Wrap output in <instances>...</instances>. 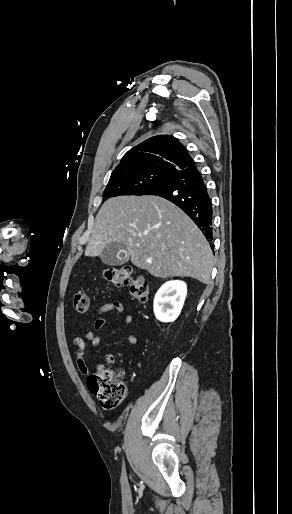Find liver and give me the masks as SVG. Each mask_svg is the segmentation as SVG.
<instances>
[{"mask_svg": "<svg viewBox=\"0 0 292 514\" xmlns=\"http://www.w3.org/2000/svg\"><path fill=\"white\" fill-rule=\"evenodd\" d=\"M120 242L131 262L156 278L189 276L210 284L214 256L201 230L159 196H118L101 206L85 256Z\"/></svg>", "mask_w": 292, "mask_h": 514, "instance_id": "1", "label": "liver"}]
</instances>
